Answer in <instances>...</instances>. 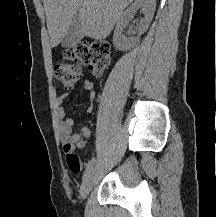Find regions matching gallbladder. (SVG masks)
Segmentation results:
<instances>
[{
	"label": "gallbladder",
	"instance_id": "1",
	"mask_svg": "<svg viewBox=\"0 0 216 217\" xmlns=\"http://www.w3.org/2000/svg\"><path fill=\"white\" fill-rule=\"evenodd\" d=\"M83 37L84 33L82 31L80 21L76 16L73 19L67 33L61 40V46L63 48H73L81 41Z\"/></svg>",
	"mask_w": 216,
	"mask_h": 217
}]
</instances>
